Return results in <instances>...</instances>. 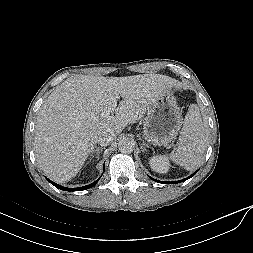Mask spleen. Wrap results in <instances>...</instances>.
<instances>
[{
  "label": "spleen",
  "mask_w": 253,
  "mask_h": 253,
  "mask_svg": "<svg viewBox=\"0 0 253 253\" xmlns=\"http://www.w3.org/2000/svg\"><path fill=\"white\" fill-rule=\"evenodd\" d=\"M207 148V132L198 105L192 104L180 132L177 147L170 158L177 165L192 171L203 161Z\"/></svg>",
  "instance_id": "1"
}]
</instances>
